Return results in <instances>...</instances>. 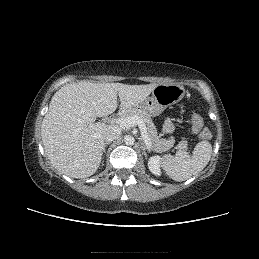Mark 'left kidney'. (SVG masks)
<instances>
[{"label": "left kidney", "mask_w": 259, "mask_h": 259, "mask_svg": "<svg viewBox=\"0 0 259 259\" xmlns=\"http://www.w3.org/2000/svg\"><path fill=\"white\" fill-rule=\"evenodd\" d=\"M161 159L160 156H152L148 160V168L156 176H161Z\"/></svg>", "instance_id": "left-kidney-1"}]
</instances>
